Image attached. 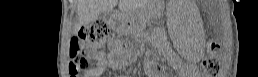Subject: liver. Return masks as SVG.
<instances>
[{"mask_svg": "<svg viewBox=\"0 0 258 77\" xmlns=\"http://www.w3.org/2000/svg\"><path fill=\"white\" fill-rule=\"evenodd\" d=\"M117 3L118 0H78L77 10L79 22L77 30L81 26L87 25L97 19L102 13L110 11ZM118 7L122 12L128 11L127 1L119 0Z\"/></svg>", "mask_w": 258, "mask_h": 77, "instance_id": "1", "label": "liver"}]
</instances>
